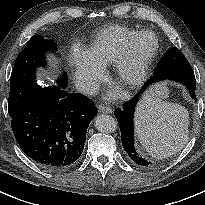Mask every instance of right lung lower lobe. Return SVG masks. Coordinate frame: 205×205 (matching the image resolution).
Segmentation results:
<instances>
[{"mask_svg":"<svg viewBox=\"0 0 205 205\" xmlns=\"http://www.w3.org/2000/svg\"><path fill=\"white\" fill-rule=\"evenodd\" d=\"M95 115L97 109L91 100L55 85L36 92L12 117L11 127L27 156L41 167L56 171L76 163Z\"/></svg>","mask_w":205,"mask_h":205,"instance_id":"98d812e1","label":"right lung lower lobe"}]
</instances>
